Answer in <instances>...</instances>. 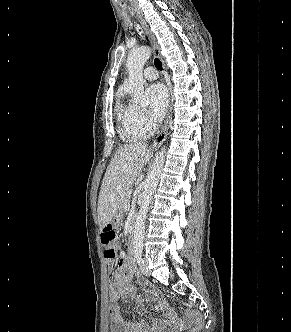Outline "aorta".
Returning a JSON list of instances; mask_svg holds the SVG:
<instances>
[{"label":"aorta","instance_id":"762f6f07","mask_svg":"<svg viewBox=\"0 0 291 332\" xmlns=\"http://www.w3.org/2000/svg\"><path fill=\"white\" fill-rule=\"evenodd\" d=\"M150 55V48L143 46L130 51L126 62L128 70L126 91L130 94L133 103L144 106L149 104V98L144 94L143 67ZM165 154L166 148L164 146L157 153L151 170L144 181L142 201L134 227L133 249L136 255H141L143 251L146 216L164 166Z\"/></svg>","mask_w":291,"mask_h":332}]
</instances>
